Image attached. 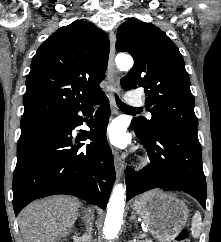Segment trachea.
Instances as JSON below:
<instances>
[{
    "instance_id": "obj_1",
    "label": "trachea",
    "mask_w": 221,
    "mask_h": 242,
    "mask_svg": "<svg viewBox=\"0 0 221 242\" xmlns=\"http://www.w3.org/2000/svg\"><path fill=\"white\" fill-rule=\"evenodd\" d=\"M115 99H116L117 106H118L121 110L130 111V112H140V109H139V108L131 107V106L125 104L124 102H122V101L119 99V97L117 96V94H115Z\"/></svg>"
}]
</instances>
